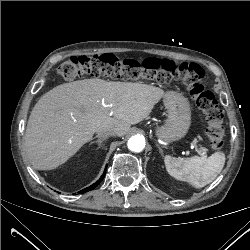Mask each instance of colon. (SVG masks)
Returning <instances> with one entry per match:
<instances>
[{"label": "colon", "instance_id": "1", "mask_svg": "<svg viewBox=\"0 0 250 250\" xmlns=\"http://www.w3.org/2000/svg\"><path fill=\"white\" fill-rule=\"evenodd\" d=\"M64 80L81 76L109 77L114 79H147L158 83L181 81L207 122V137L214 150L223 147L225 128L223 112L213 93L204 85V71L196 63L175 62L169 59L118 58L113 54L75 56L63 62L57 69Z\"/></svg>", "mask_w": 250, "mask_h": 250}]
</instances>
